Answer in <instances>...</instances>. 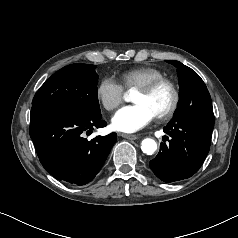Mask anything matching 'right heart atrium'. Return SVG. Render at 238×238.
Listing matches in <instances>:
<instances>
[{
  "label": "right heart atrium",
  "mask_w": 238,
  "mask_h": 238,
  "mask_svg": "<svg viewBox=\"0 0 238 238\" xmlns=\"http://www.w3.org/2000/svg\"><path fill=\"white\" fill-rule=\"evenodd\" d=\"M96 96L108 111L115 110L124 100V87L112 77H104L98 84Z\"/></svg>",
  "instance_id": "1"
}]
</instances>
